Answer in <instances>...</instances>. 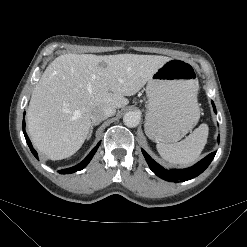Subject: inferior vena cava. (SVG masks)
I'll return each mask as SVG.
<instances>
[{
    "label": "inferior vena cava",
    "instance_id": "inferior-vena-cava-1",
    "mask_svg": "<svg viewBox=\"0 0 247 247\" xmlns=\"http://www.w3.org/2000/svg\"><path fill=\"white\" fill-rule=\"evenodd\" d=\"M116 112V109L113 107H102V108H95L90 113V118L93 123H99L105 120L108 117H111Z\"/></svg>",
    "mask_w": 247,
    "mask_h": 247
}]
</instances>
